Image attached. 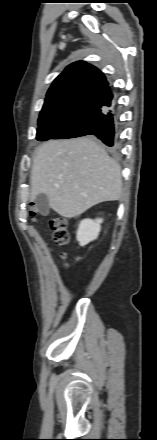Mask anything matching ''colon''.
Segmentation results:
<instances>
[{"label":"colon","mask_w":157,"mask_h":440,"mask_svg":"<svg viewBox=\"0 0 157 440\" xmlns=\"http://www.w3.org/2000/svg\"><path fill=\"white\" fill-rule=\"evenodd\" d=\"M37 208L31 209V215H36ZM50 227L52 230V237L55 243L59 246H64L69 242L68 223L65 218L54 216L50 220Z\"/></svg>","instance_id":"colon-1"}]
</instances>
